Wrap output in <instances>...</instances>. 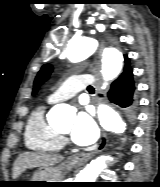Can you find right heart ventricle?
<instances>
[{
    "instance_id": "obj_1",
    "label": "right heart ventricle",
    "mask_w": 160,
    "mask_h": 187,
    "mask_svg": "<svg viewBox=\"0 0 160 187\" xmlns=\"http://www.w3.org/2000/svg\"><path fill=\"white\" fill-rule=\"evenodd\" d=\"M45 107L36 108L30 115L24 132L25 145L39 153H58L64 144L59 133L45 120Z\"/></svg>"
}]
</instances>
